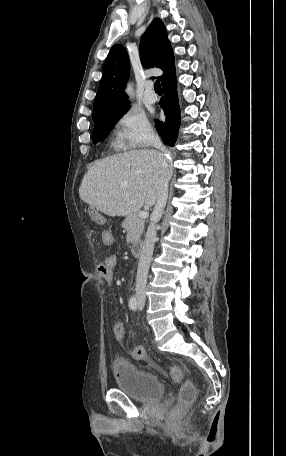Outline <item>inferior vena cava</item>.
Here are the masks:
<instances>
[{
  "instance_id": "602c4592",
  "label": "inferior vena cava",
  "mask_w": 286,
  "mask_h": 456,
  "mask_svg": "<svg viewBox=\"0 0 286 456\" xmlns=\"http://www.w3.org/2000/svg\"><path fill=\"white\" fill-rule=\"evenodd\" d=\"M151 144L156 148L159 149L166 157V150L165 147L162 145L160 138L158 135H153L151 138ZM166 172L167 174L163 177L160 182L159 189H158V197L156 201V205L153 210L151 222L148 226L144 244L140 253L137 275H136V296L137 297H145L146 293V284H147V276L150 267V263L152 260L154 244L156 242V223L160 220L164 208L166 206L167 198H168V174H169V160L166 158Z\"/></svg>"
}]
</instances>
